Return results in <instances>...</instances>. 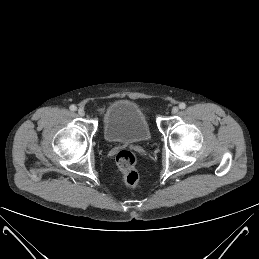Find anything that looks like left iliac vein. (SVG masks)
I'll list each match as a JSON object with an SVG mask.
<instances>
[{
    "label": "left iliac vein",
    "instance_id": "1",
    "mask_svg": "<svg viewBox=\"0 0 259 259\" xmlns=\"http://www.w3.org/2000/svg\"><path fill=\"white\" fill-rule=\"evenodd\" d=\"M178 111H179L178 107H173L171 112L172 114H177Z\"/></svg>",
    "mask_w": 259,
    "mask_h": 259
}]
</instances>
